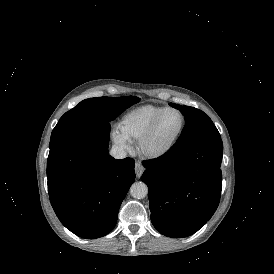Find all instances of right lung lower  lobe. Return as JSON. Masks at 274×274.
<instances>
[{
    "instance_id": "right-lung-lower-lobe-1",
    "label": "right lung lower lobe",
    "mask_w": 274,
    "mask_h": 274,
    "mask_svg": "<svg viewBox=\"0 0 274 274\" xmlns=\"http://www.w3.org/2000/svg\"><path fill=\"white\" fill-rule=\"evenodd\" d=\"M109 133V122L95 124L50 148V202L62 224L82 238H99L115 227L135 179L133 159L108 154Z\"/></svg>"
}]
</instances>
